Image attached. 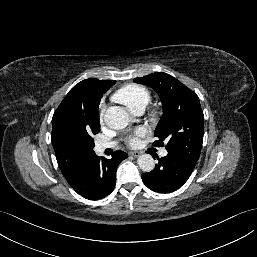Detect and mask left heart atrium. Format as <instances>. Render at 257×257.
I'll use <instances>...</instances> for the list:
<instances>
[{
	"instance_id": "left-heart-atrium-1",
	"label": "left heart atrium",
	"mask_w": 257,
	"mask_h": 257,
	"mask_svg": "<svg viewBox=\"0 0 257 257\" xmlns=\"http://www.w3.org/2000/svg\"><path fill=\"white\" fill-rule=\"evenodd\" d=\"M143 135H144V130L138 129L132 135H129L126 138V142L131 146L136 145L138 143V137L143 136Z\"/></svg>"
}]
</instances>
